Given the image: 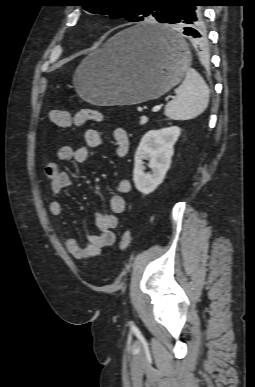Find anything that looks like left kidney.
<instances>
[{"label": "left kidney", "mask_w": 255, "mask_h": 387, "mask_svg": "<svg viewBox=\"0 0 255 387\" xmlns=\"http://www.w3.org/2000/svg\"><path fill=\"white\" fill-rule=\"evenodd\" d=\"M181 129L171 126L148 131L141 139L135 153L133 181L138 191L147 195L160 185L171 165L174 144ZM144 160H149L152 173H145Z\"/></svg>", "instance_id": "obj_1"}]
</instances>
